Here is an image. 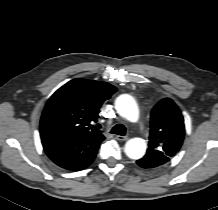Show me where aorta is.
<instances>
[{
  "instance_id": "aorta-1",
  "label": "aorta",
  "mask_w": 218,
  "mask_h": 210,
  "mask_svg": "<svg viewBox=\"0 0 218 210\" xmlns=\"http://www.w3.org/2000/svg\"><path fill=\"white\" fill-rule=\"evenodd\" d=\"M117 112L130 122H136L139 119V109L136 101L130 95H120L115 101ZM146 143L141 138H132L125 144L126 155L134 160L140 159L145 155Z\"/></svg>"
}]
</instances>
